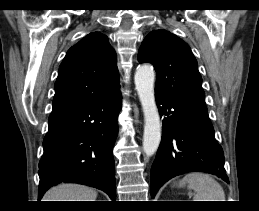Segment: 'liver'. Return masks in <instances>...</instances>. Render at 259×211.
<instances>
[{
  "mask_svg": "<svg viewBox=\"0 0 259 211\" xmlns=\"http://www.w3.org/2000/svg\"><path fill=\"white\" fill-rule=\"evenodd\" d=\"M97 193L92 188L78 184H61L44 196V201H96Z\"/></svg>",
  "mask_w": 259,
  "mask_h": 211,
  "instance_id": "6515ba94",
  "label": "liver"
}]
</instances>
